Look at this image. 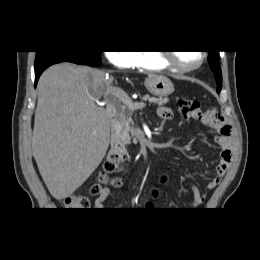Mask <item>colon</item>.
I'll use <instances>...</instances> for the list:
<instances>
[{
  "instance_id": "colon-1",
  "label": "colon",
  "mask_w": 260,
  "mask_h": 260,
  "mask_svg": "<svg viewBox=\"0 0 260 260\" xmlns=\"http://www.w3.org/2000/svg\"><path fill=\"white\" fill-rule=\"evenodd\" d=\"M179 111L185 119L196 118L202 114L199 102L191 99H182L179 101ZM124 169V159L117 153L110 152L107 155L103 169L99 173V183L95 184L91 192L94 195H100L104 190V184L109 183L114 186H120L122 181L113 174L119 173ZM64 206L69 210H85L89 207V201L83 196H70L64 200Z\"/></svg>"
}]
</instances>
